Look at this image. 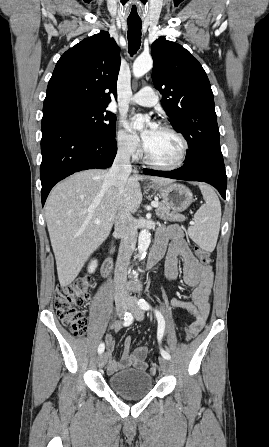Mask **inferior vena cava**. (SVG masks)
<instances>
[{
	"label": "inferior vena cava",
	"mask_w": 269,
	"mask_h": 447,
	"mask_svg": "<svg viewBox=\"0 0 269 447\" xmlns=\"http://www.w3.org/2000/svg\"><path fill=\"white\" fill-rule=\"evenodd\" d=\"M130 156L131 152L126 146H118L113 166L105 176L108 182H113L119 194L123 192L124 186L127 184L128 176H130L132 172ZM115 233L120 235L121 243L119 245V253L114 271V289L115 293L128 295V291L125 287L127 267L129 259L135 249L137 239V225L128 210L119 208L115 218Z\"/></svg>",
	"instance_id": "602c4592"
}]
</instances>
